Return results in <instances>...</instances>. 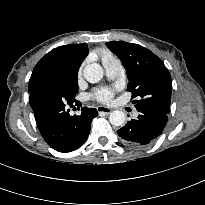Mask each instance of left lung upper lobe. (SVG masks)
<instances>
[{"label": "left lung upper lobe", "mask_w": 205, "mask_h": 205, "mask_svg": "<svg viewBox=\"0 0 205 205\" xmlns=\"http://www.w3.org/2000/svg\"><path fill=\"white\" fill-rule=\"evenodd\" d=\"M107 47L122 61L136 109L147 108L170 113L171 76L162 60L150 50L133 43L111 41Z\"/></svg>", "instance_id": "obj_1"}]
</instances>
